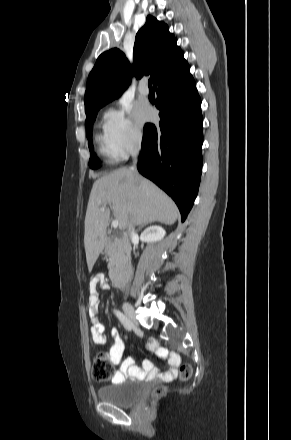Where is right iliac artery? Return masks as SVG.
<instances>
[{"label":"right iliac artery","instance_id":"obj_1","mask_svg":"<svg viewBox=\"0 0 291 440\" xmlns=\"http://www.w3.org/2000/svg\"><path fill=\"white\" fill-rule=\"evenodd\" d=\"M116 316L119 318L120 322L123 324V326L127 329V330H131L133 327L132 322L129 320V318L127 316H125L122 312H120L119 310H114Z\"/></svg>","mask_w":291,"mask_h":440}]
</instances>
